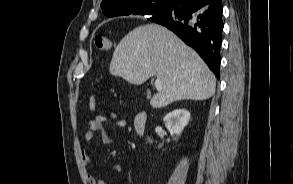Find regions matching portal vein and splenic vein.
Here are the masks:
<instances>
[{
    "mask_svg": "<svg viewBox=\"0 0 293 184\" xmlns=\"http://www.w3.org/2000/svg\"><path fill=\"white\" fill-rule=\"evenodd\" d=\"M155 87H156V89H161V83H160V80L158 78L155 81Z\"/></svg>",
    "mask_w": 293,
    "mask_h": 184,
    "instance_id": "obj_1",
    "label": "portal vein and splenic vein"
}]
</instances>
